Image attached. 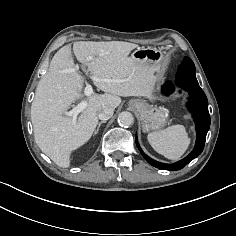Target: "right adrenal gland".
Returning a JSON list of instances; mask_svg holds the SVG:
<instances>
[{
  "label": "right adrenal gland",
  "mask_w": 236,
  "mask_h": 236,
  "mask_svg": "<svg viewBox=\"0 0 236 236\" xmlns=\"http://www.w3.org/2000/svg\"><path fill=\"white\" fill-rule=\"evenodd\" d=\"M103 123H106V120L99 122L98 127H97V129L95 130L94 134H97V133H98L99 128H100L101 124H103Z\"/></svg>",
  "instance_id": "1"
}]
</instances>
